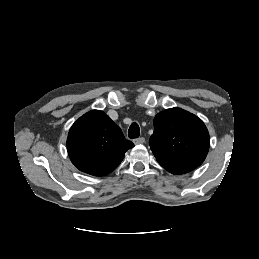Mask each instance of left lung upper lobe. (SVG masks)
Listing matches in <instances>:
<instances>
[{
	"label": "left lung upper lobe",
	"instance_id": "1",
	"mask_svg": "<svg viewBox=\"0 0 259 259\" xmlns=\"http://www.w3.org/2000/svg\"><path fill=\"white\" fill-rule=\"evenodd\" d=\"M150 148L159 164L197 168L208 153L209 133L197 116L180 108L158 113L154 118Z\"/></svg>",
	"mask_w": 259,
	"mask_h": 259
}]
</instances>
